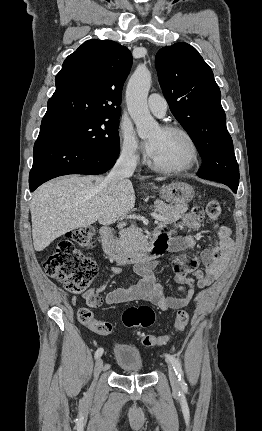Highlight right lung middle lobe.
I'll return each instance as SVG.
<instances>
[{
	"instance_id": "1",
	"label": "right lung middle lobe",
	"mask_w": 262,
	"mask_h": 431,
	"mask_svg": "<svg viewBox=\"0 0 262 431\" xmlns=\"http://www.w3.org/2000/svg\"><path fill=\"white\" fill-rule=\"evenodd\" d=\"M119 116H96L41 126L39 135L70 139L101 151L119 152Z\"/></svg>"
}]
</instances>
